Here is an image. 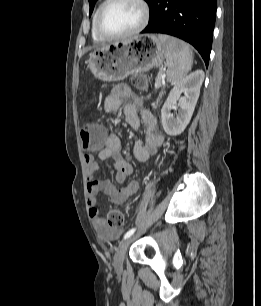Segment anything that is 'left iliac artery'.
<instances>
[{
	"instance_id": "left-iliac-artery-1",
	"label": "left iliac artery",
	"mask_w": 261,
	"mask_h": 306,
	"mask_svg": "<svg viewBox=\"0 0 261 306\" xmlns=\"http://www.w3.org/2000/svg\"><path fill=\"white\" fill-rule=\"evenodd\" d=\"M135 230H136V228L130 229L128 232H126V234L124 235L123 239H126V238L132 236L133 233L135 232Z\"/></svg>"
}]
</instances>
